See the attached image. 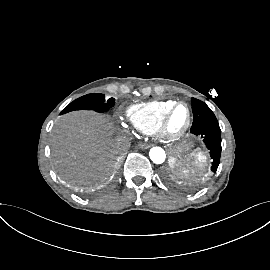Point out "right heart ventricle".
Segmentation results:
<instances>
[{"label": "right heart ventricle", "instance_id": "e07e8e85", "mask_svg": "<svg viewBox=\"0 0 270 270\" xmlns=\"http://www.w3.org/2000/svg\"><path fill=\"white\" fill-rule=\"evenodd\" d=\"M174 103L173 100H164L133 104L127 108L126 117L137 131L153 134L157 131L163 114Z\"/></svg>", "mask_w": 270, "mask_h": 270}]
</instances>
